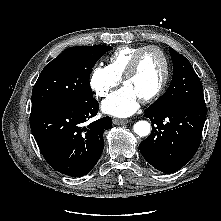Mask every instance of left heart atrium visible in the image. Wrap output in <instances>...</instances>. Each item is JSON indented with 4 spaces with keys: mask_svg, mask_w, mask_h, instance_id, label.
<instances>
[{
    "mask_svg": "<svg viewBox=\"0 0 221 221\" xmlns=\"http://www.w3.org/2000/svg\"><path fill=\"white\" fill-rule=\"evenodd\" d=\"M139 100V97L128 86H123L103 101L101 107L109 115L128 117L137 111Z\"/></svg>",
    "mask_w": 221,
    "mask_h": 221,
    "instance_id": "1",
    "label": "left heart atrium"
}]
</instances>
